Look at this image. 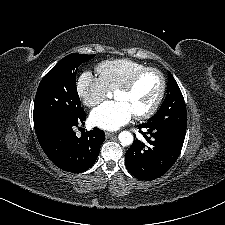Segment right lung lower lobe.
<instances>
[{"label":"right lung lower lobe","instance_id":"1","mask_svg":"<svg viewBox=\"0 0 225 225\" xmlns=\"http://www.w3.org/2000/svg\"><path fill=\"white\" fill-rule=\"evenodd\" d=\"M84 110L67 121L55 122L36 132L38 141L48 158L60 169L80 173L96 161L105 133L95 127L77 137L75 128L84 124Z\"/></svg>","mask_w":225,"mask_h":225}]
</instances>
